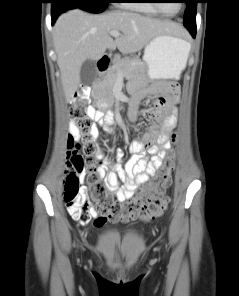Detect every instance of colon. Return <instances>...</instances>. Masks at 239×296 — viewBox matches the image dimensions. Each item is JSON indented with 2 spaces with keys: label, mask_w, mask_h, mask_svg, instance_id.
<instances>
[{
  "label": "colon",
  "mask_w": 239,
  "mask_h": 296,
  "mask_svg": "<svg viewBox=\"0 0 239 296\" xmlns=\"http://www.w3.org/2000/svg\"><path fill=\"white\" fill-rule=\"evenodd\" d=\"M88 90L84 91L87 95ZM91 108L77 100L70 108V116L75 124L77 135L69 136L67 161L62 182V196L74 219L82 222L91 220V209L100 214L98 222L124 215L140 217L143 220L161 216L167 209L169 198L165 187L169 173L175 166L176 152H168L164 166L156 178L140 190L133 199L119 202L108 191L99 168V154L94 141V124L90 116ZM176 141V135H172ZM85 186H81V182Z\"/></svg>",
  "instance_id": "1"
}]
</instances>
